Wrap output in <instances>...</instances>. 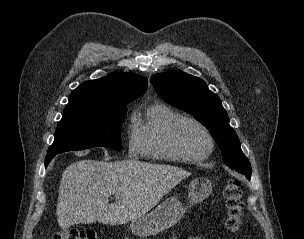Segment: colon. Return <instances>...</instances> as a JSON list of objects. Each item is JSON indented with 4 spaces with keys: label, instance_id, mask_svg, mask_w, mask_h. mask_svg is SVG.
Returning a JSON list of instances; mask_svg holds the SVG:
<instances>
[{
    "label": "colon",
    "instance_id": "5ec220e1",
    "mask_svg": "<svg viewBox=\"0 0 304 239\" xmlns=\"http://www.w3.org/2000/svg\"><path fill=\"white\" fill-rule=\"evenodd\" d=\"M223 197L226 207L225 227L228 232L235 233L242 225L244 213L241 182L237 179L227 181ZM53 239H97V235L92 230L64 229L54 233Z\"/></svg>",
    "mask_w": 304,
    "mask_h": 239
}]
</instances>
